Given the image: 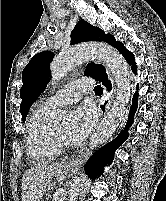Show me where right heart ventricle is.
<instances>
[{"mask_svg": "<svg viewBox=\"0 0 166 201\" xmlns=\"http://www.w3.org/2000/svg\"><path fill=\"white\" fill-rule=\"evenodd\" d=\"M50 109L45 105L36 108L27 123L26 151L34 165L53 161L61 152L53 137Z\"/></svg>", "mask_w": 166, "mask_h": 201, "instance_id": "right-heart-ventricle-1", "label": "right heart ventricle"}]
</instances>
